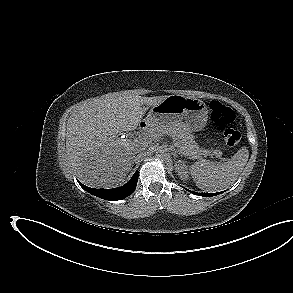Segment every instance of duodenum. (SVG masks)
Returning <instances> with one entry per match:
<instances>
[{
  "instance_id": "obj_1",
  "label": "duodenum",
  "mask_w": 293,
  "mask_h": 293,
  "mask_svg": "<svg viewBox=\"0 0 293 293\" xmlns=\"http://www.w3.org/2000/svg\"><path fill=\"white\" fill-rule=\"evenodd\" d=\"M149 123L147 121H142L139 125L140 131L144 132L148 129Z\"/></svg>"
}]
</instances>
